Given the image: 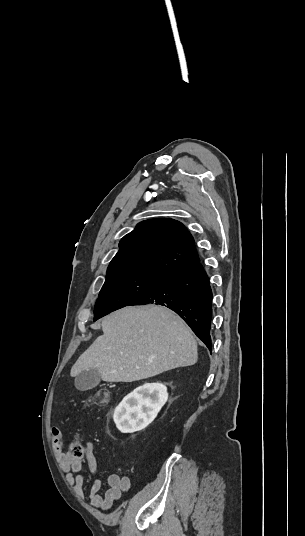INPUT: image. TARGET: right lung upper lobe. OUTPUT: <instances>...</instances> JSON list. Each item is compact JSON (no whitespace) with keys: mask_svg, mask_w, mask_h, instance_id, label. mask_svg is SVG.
<instances>
[{"mask_svg":"<svg viewBox=\"0 0 305 536\" xmlns=\"http://www.w3.org/2000/svg\"><path fill=\"white\" fill-rule=\"evenodd\" d=\"M107 277L128 274L170 275L199 262L194 239L184 225L168 218L140 222L125 235Z\"/></svg>","mask_w":305,"mask_h":536,"instance_id":"1","label":"right lung upper lobe"}]
</instances>
